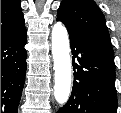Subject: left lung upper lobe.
Instances as JSON below:
<instances>
[{
    "label": "left lung upper lobe",
    "instance_id": "obj_1",
    "mask_svg": "<svg viewBox=\"0 0 121 113\" xmlns=\"http://www.w3.org/2000/svg\"><path fill=\"white\" fill-rule=\"evenodd\" d=\"M68 32L81 38L114 63L105 18L93 0H63L57 14Z\"/></svg>",
    "mask_w": 121,
    "mask_h": 113
}]
</instances>
